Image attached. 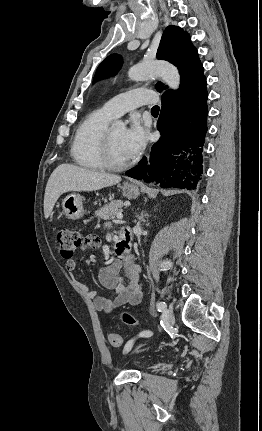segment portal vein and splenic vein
<instances>
[{
  "label": "portal vein and splenic vein",
  "instance_id": "18ae733b",
  "mask_svg": "<svg viewBox=\"0 0 262 431\" xmlns=\"http://www.w3.org/2000/svg\"><path fill=\"white\" fill-rule=\"evenodd\" d=\"M116 217H117L118 220H122L123 219V215L120 212L117 213Z\"/></svg>",
  "mask_w": 262,
  "mask_h": 431
}]
</instances>
